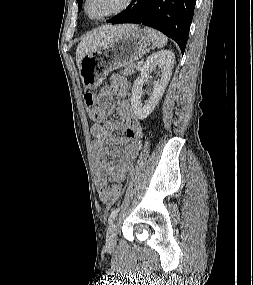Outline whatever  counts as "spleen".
<instances>
[{
	"label": "spleen",
	"mask_w": 253,
	"mask_h": 285,
	"mask_svg": "<svg viewBox=\"0 0 253 285\" xmlns=\"http://www.w3.org/2000/svg\"><path fill=\"white\" fill-rule=\"evenodd\" d=\"M143 32L148 36L153 46L162 48L167 44V37L155 29L144 27Z\"/></svg>",
	"instance_id": "1"
}]
</instances>
